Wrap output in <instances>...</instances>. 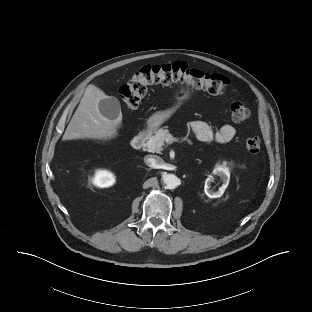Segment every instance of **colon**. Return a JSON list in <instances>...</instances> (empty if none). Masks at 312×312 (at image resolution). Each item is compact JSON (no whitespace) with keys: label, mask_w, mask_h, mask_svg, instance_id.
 I'll return each instance as SVG.
<instances>
[{"label":"colon","mask_w":312,"mask_h":312,"mask_svg":"<svg viewBox=\"0 0 312 312\" xmlns=\"http://www.w3.org/2000/svg\"><path fill=\"white\" fill-rule=\"evenodd\" d=\"M228 79L221 74L206 73L189 67L183 62L153 64L142 66L119 90V96L128 110L139 107L152 84L185 83L195 88L207 91L212 95L224 93ZM249 108L241 102L231 106V118L234 122H243L249 118ZM246 150L256 154L260 151L261 142L258 137H247L244 141Z\"/></svg>","instance_id":"1"}]
</instances>
